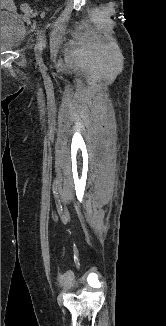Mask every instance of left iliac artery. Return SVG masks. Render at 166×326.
Instances as JSON below:
<instances>
[{"label":"left iliac artery","instance_id":"44dca946","mask_svg":"<svg viewBox=\"0 0 166 326\" xmlns=\"http://www.w3.org/2000/svg\"><path fill=\"white\" fill-rule=\"evenodd\" d=\"M38 36H39V39H40L41 48L45 49V47H46V36H45V34L43 33V31L39 30L38 31Z\"/></svg>","mask_w":166,"mask_h":326}]
</instances>
